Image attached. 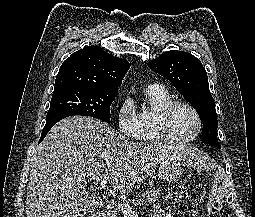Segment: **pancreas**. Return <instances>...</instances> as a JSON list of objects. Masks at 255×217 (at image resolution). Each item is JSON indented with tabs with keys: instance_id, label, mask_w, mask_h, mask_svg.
Instances as JSON below:
<instances>
[{
	"instance_id": "pancreas-1",
	"label": "pancreas",
	"mask_w": 255,
	"mask_h": 217,
	"mask_svg": "<svg viewBox=\"0 0 255 217\" xmlns=\"http://www.w3.org/2000/svg\"><path fill=\"white\" fill-rule=\"evenodd\" d=\"M160 195V189L159 188H150L148 190H145L142 193V200L139 201V203H144L147 205H150L154 203ZM128 202L135 203V200H129ZM121 210L118 208L117 205H111L108 207L107 215L108 217H119L121 216Z\"/></svg>"
}]
</instances>
